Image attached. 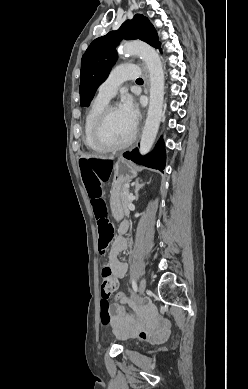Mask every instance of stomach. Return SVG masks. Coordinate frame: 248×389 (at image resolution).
Listing matches in <instances>:
<instances>
[{"mask_svg":"<svg viewBox=\"0 0 248 389\" xmlns=\"http://www.w3.org/2000/svg\"><path fill=\"white\" fill-rule=\"evenodd\" d=\"M113 186L110 196V205L113 211L114 220H123V209L121 202V190L125 189L124 184L129 183L133 178L137 176L136 168L123 158L118 159L113 163Z\"/></svg>","mask_w":248,"mask_h":389,"instance_id":"0dacf381","label":"stomach"}]
</instances>
